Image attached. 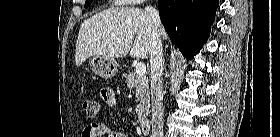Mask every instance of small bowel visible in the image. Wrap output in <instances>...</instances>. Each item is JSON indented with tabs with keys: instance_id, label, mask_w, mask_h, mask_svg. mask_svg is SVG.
<instances>
[{
	"instance_id": "1",
	"label": "small bowel",
	"mask_w": 280,
	"mask_h": 137,
	"mask_svg": "<svg viewBox=\"0 0 280 137\" xmlns=\"http://www.w3.org/2000/svg\"><path fill=\"white\" fill-rule=\"evenodd\" d=\"M105 90L113 92L112 89H105ZM106 103L110 106H114L115 100L108 101ZM94 133H98L100 136H105V137H125L124 134L112 130L105 123H91L83 130L82 137H91L90 135Z\"/></svg>"
}]
</instances>
